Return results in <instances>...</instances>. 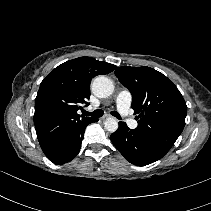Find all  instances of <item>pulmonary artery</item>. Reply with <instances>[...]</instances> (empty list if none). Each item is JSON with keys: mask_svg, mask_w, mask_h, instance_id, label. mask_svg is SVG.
Segmentation results:
<instances>
[{"mask_svg": "<svg viewBox=\"0 0 211 211\" xmlns=\"http://www.w3.org/2000/svg\"><path fill=\"white\" fill-rule=\"evenodd\" d=\"M132 95L128 90H121L116 96V107L118 112L125 118L127 124L131 128L137 127V122L130 116V106Z\"/></svg>", "mask_w": 211, "mask_h": 211, "instance_id": "pulmonary-artery-1", "label": "pulmonary artery"}]
</instances>
